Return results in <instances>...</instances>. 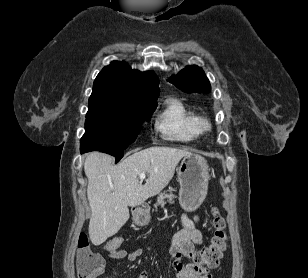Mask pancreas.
Returning a JSON list of instances; mask_svg holds the SVG:
<instances>
[{
    "mask_svg": "<svg viewBox=\"0 0 308 278\" xmlns=\"http://www.w3.org/2000/svg\"><path fill=\"white\" fill-rule=\"evenodd\" d=\"M172 189H169L168 191H164L162 193H160L157 197V204L164 207V205L166 204V200L172 204L173 203V199H174V195L172 193Z\"/></svg>",
    "mask_w": 308,
    "mask_h": 278,
    "instance_id": "1",
    "label": "pancreas"
}]
</instances>
